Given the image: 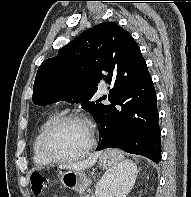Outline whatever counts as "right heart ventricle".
<instances>
[{
	"mask_svg": "<svg viewBox=\"0 0 191 197\" xmlns=\"http://www.w3.org/2000/svg\"><path fill=\"white\" fill-rule=\"evenodd\" d=\"M56 117V113H50L40 124L32 143L33 161L37 166H48L52 162L45 158L40 149V138L44 128Z\"/></svg>",
	"mask_w": 191,
	"mask_h": 197,
	"instance_id": "right-heart-ventricle-1",
	"label": "right heart ventricle"
}]
</instances>
